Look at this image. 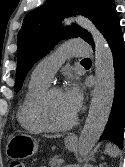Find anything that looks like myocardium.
I'll list each match as a JSON object with an SVG mask.
<instances>
[{
	"label": "myocardium",
	"instance_id": "obj_1",
	"mask_svg": "<svg viewBox=\"0 0 125 167\" xmlns=\"http://www.w3.org/2000/svg\"><path fill=\"white\" fill-rule=\"evenodd\" d=\"M61 91L57 86L48 87L42 95L39 97L35 106V116L38 123L46 130L50 132H62L71 129L77 122V115L67 123L63 125H55L51 123L47 116V103L49 98L56 92Z\"/></svg>",
	"mask_w": 125,
	"mask_h": 167
}]
</instances>
